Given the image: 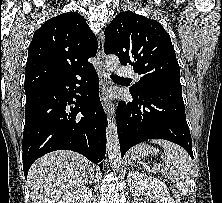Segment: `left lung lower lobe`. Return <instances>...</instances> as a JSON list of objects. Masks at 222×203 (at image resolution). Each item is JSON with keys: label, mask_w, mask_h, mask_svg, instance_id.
Returning a JSON list of instances; mask_svg holds the SVG:
<instances>
[{"label": "left lung lower lobe", "mask_w": 222, "mask_h": 203, "mask_svg": "<svg viewBox=\"0 0 222 203\" xmlns=\"http://www.w3.org/2000/svg\"><path fill=\"white\" fill-rule=\"evenodd\" d=\"M130 93L133 101H121L116 113L121 156L145 140L165 139L182 146L193 158L182 87L158 84Z\"/></svg>", "instance_id": "left-lung-lower-lobe-1"}]
</instances>
